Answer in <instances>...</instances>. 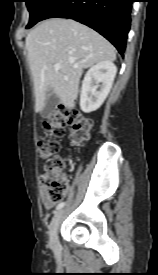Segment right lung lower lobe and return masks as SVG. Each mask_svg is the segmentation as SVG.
I'll use <instances>...</instances> for the list:
<instances>
[{
	"instance_id": "right-lung-lower-lobe-1",
	"label": "right lung lower lobe",
	"mask_w": 158,
	"mask_h": 275,
	"mask_svg": "<svg viewBox=\"0 0 158 275\" xmlns=\"http://www.w3.org/2000/svg\"><path fill=\"white\" fill-rule=\"evenodd\" d=\"M132 2L133 0H56L41 20L53 17L74 19L99 32L123 55L131 24Z\"/></svg>"
}]
</instances>
